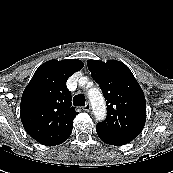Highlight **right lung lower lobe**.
<instances>
[{
	"mask_svg": "<svg viewBox=\"0 0 173 173\" xmlns=\"http://www.w3.org/2000/svg\"><path fill=\"white\" fill-rule=\"evenodd\" d=\"M71 132L63 140H61L60 142L56 143L55 145H59V144L63 143L64 141H66L68 139V137L70 136Z\"/></svg>",
	"mask_w": 173,
	"mask_h": 173,
	"instance_id": "98d812e1",
	"label": "right lung lower lobe"
}]
</instances>
